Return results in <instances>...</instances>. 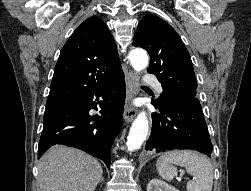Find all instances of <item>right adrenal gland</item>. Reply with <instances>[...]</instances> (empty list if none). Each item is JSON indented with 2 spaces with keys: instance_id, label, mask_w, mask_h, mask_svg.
<instances>
[{
  "instance_id": "obj_1",
  "label": "right adrenal gland",
  "mask_w": 251,
  "mask_h": 191,
  "mask_svg": "<svg viewBox=\"0 0 251 191\" xmlns=\"http://www.w3.org/2000/svg\"><path fill=\"white\" fill-rule=\"evenodd\" d=\"M100 181H104V177H101Z\"/></svg>"
}]
</instances>
